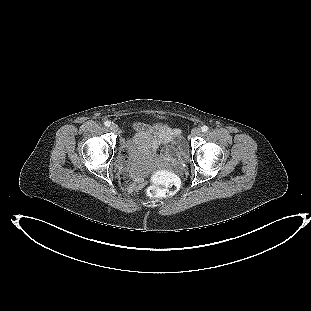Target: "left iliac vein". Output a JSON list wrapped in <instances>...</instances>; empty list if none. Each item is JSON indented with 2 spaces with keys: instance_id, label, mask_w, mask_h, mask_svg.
I'll list each match as a JSON object with an SVG mask.
<instances>
[{
  "instance_id": "4c4485c4",
  "label": "left iliac vein",
  "mask_w": 311,
  "mask_h": 311,
  "mask_svg": "<svg viewBox=\"0 0 311 311\" xmlns=\"http://www.w3.org/2000/svg\"><path fill=\"white\" fill-rule=\"evenodd\" d=\"M191 135L193 137H197V136H200L201 135V129L196 127V128H193L192 131H191Z\"/></svg>"
}]
</instances>
